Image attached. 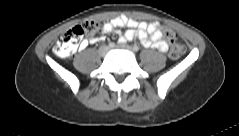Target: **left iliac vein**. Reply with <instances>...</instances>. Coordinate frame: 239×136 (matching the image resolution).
<instances>
[{
	"label": "left iliac vein",
	"instance_id": "left-iliac-vein-1",
	"mask_svg": "<svg viewBox=\"0 0 239 136\" xmlns=\"http://www.w3.org/2000/svg\"><path fill=\"white\" fill-rule=\"evenodd\" d=\"M116 48H122V49L132 51V48L130 46L124 45V44L117 45Z\"/></svg>",
	"mask_w": 239,
	"mask_h": 136
}]
</instances>
